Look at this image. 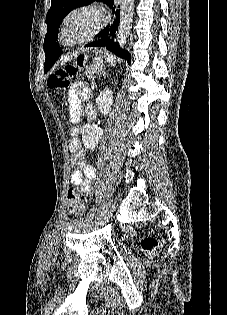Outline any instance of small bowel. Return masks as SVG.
Listing matches in <instances>:
<instances>
[{"label":"small bowel","instance_id":"small-bowel-1","mask_svg":"<svg viewBox=\"0 0 227 315\" xmlns=\"http://www.w3.org/2000/svg\"><path fill=\"white\" fill-rule=\"evenodd\" d=\"M89 98V88L83 82L75 83L69 93V108L73 127V137L69 141V150L72 153L71 163L76 167L71 173L70 181L73 185L79 186L84 194H91L96 170L85 159V151L81 148L77 134L80 131L78 118L80 115L81 102Z\"/></svg>","mask_w":227,"mask_h":315}]
</instances>
